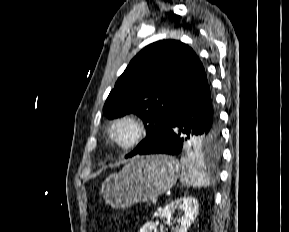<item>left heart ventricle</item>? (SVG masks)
<instances>
[{"mask_svg":"<svg viewBox=\"0 0 289 232\" xmlns=\"http://www.w3.org/2000/svg\"><path fill=\"white\" fill-rule=\"evenodd\" d=\"M133 128L129 124H122L116 127L114 134L120 142H126L133 136Z\"/></svg>","mask_w":289,"mask_h":232,"instance_id":"obj_1","label":"left heart ventricle"}]
</instances>
